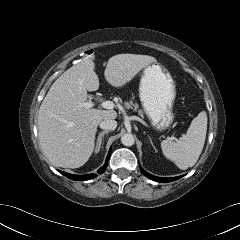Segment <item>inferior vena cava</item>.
Instances as JSON below:
<instances>
[{
    "label": "inferior vena cava",
    "instance_id": "inferior-vena-cava-1",
    "mask_svg": "<svg viewBox=\"0 0 240 240\" xmlns=\"http://www.w3.org/2000/svg\"><path fill=\"white\" fill-rule=\"evenodd\" d=\"M116 127L117 122L113 119H105L100 122V128L107 131L115 130Z\"/></svg>",
    "mask_w": 240,
    "mask_h": 240
}]
</instances>
